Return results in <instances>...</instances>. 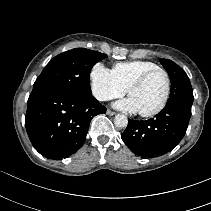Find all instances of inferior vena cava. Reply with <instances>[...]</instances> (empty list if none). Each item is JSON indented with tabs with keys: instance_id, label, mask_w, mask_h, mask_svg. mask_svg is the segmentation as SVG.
Listing matches in <instances>:
<instances>
[{
	"instance_id": "inferior-vena-cava-1",
	"label": "inferior vena cava",
	"mask_w": 211,
	"mask_h": 211,
	"mask_svg": "<svg viewBox=\"0 0 211 211\" xmlns=\"http://www.w3.org/2000/svg\"><path fill=\"white\" fill-rule=\"evenodd\" d=\"M95 95L101 101H106L110 99L109 96L105 92H97Z\"/></svg>"
}]
</instances>
